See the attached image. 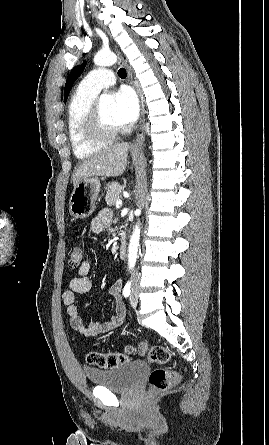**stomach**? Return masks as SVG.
I'll return each instance as SVG.
<instances>
[{"mask_svg": "<svg viewBox=\"0 0 269 445\" xmlns=\"http://www.w3.org/2000/svg\"><path fill=\"white\" fill-rule=\"evenodd\" d=\"M100 190L99 178L89 177L81 180L74 188L69 200L70 214L76 219L89 217L96 208Z\"/></svg>", "mask_w": 269, "mask_h": 445, "instance_id": "stomach-1", "label": "stomach"}]
</instances>
